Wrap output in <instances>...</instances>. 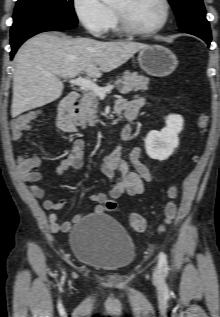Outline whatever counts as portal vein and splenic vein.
Instances as JSON below:
<instances>
[{
  "label": "portal vein and splenic vein",
  "mask_w": 220,
  "mask_h": 317,
  "mask_svg": "<svg viewBox=\"0 0 220 317\" xmlns=\"http://www.w3.org/2000/svg\"><path fill=\"white\" fill-rule=\"evenodd\" d=\"M69 83L75 86L83 87L94 92L98 97L104 98L107 92L114 89V86L99 87L96 83L83 77L69 80Z\"/></svg>",
  "instance_id": "portal-vein-and-splenic-vein-1"
}]
</instances>
